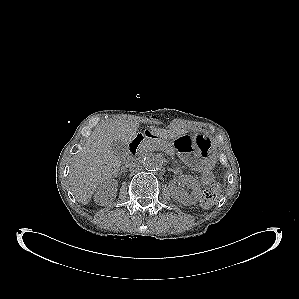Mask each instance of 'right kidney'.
Segmentation results:
<instances>
[{
  "label": "right kidney",
  "mask_w": 299,
  "mask_h": 299,
  "mask_svg": "<svg viewBox=\"0 0 299 299\" xmlns=\"http://www.w3.org/2000/svg\"><path fill=\"white\" fill-rule=\"evenodd\" d=\"M118 183L113 181H107L98 186L94 195V201L101 205H108L116 197Z\"/></svg>",
  "instance_id": "ca27d5eb"
}]
</instances>
